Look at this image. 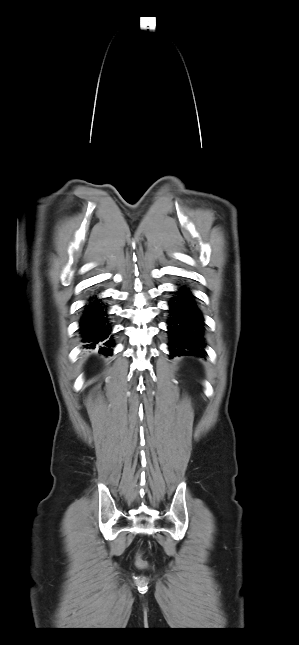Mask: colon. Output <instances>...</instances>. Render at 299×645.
Returning <instances> with one entry per match:
<instances>
[{"label": "colon", "instance_id": "1", "mask_svg": "<svg viewBox=\"0 0 299 645\" xmlns=\"http://www.w3.org/2000/svg\"><path fill=\"white\" fill-rule=\"evenodd\" d=\"M136 564H137L139 567H146V566H147V563H146V562H145V561H144L140 556H139V557H137V559H136Z\"/></svg>", "mask_w": 299, "mask_h": 645}]
</instances>
